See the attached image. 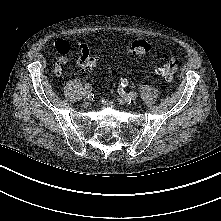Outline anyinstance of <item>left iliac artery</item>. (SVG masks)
I'll return each mask as SVG.
<instances>
[{
    "label": "left iliac artery",
    "instance_id": "obj_1",
    "mask_svg": "<svg viewBox=\"0 0 221 221\" xmlns=\"http://www.w3.org/2000/svg\"><path fill=\"white\" fill-rule=\"evenodd\" d=\"M120 85L126 87L128 85V80L126 78H121Z\"/></svg>",
    "mask_w": 221,
    "mask_h": 221
}]
</instances>
